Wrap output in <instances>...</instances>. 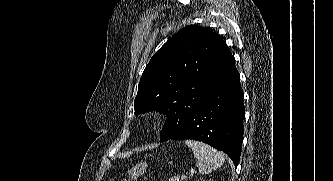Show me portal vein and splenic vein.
<instances>
[{"instance_id": "18ae733b", "label": "portal vein and splenic vein", "mask_w": 333, "mask_h": 181, "mask_svg": "<svg viewBox=\"0 0 333 181\" xmlns=\"http://www.w3.org/2000/svg\"><path fill=\"white\" fill-rule=\"evenodd\" d=\"M188 179V176L184 175L182 176V180L186 181Z\"/></svg>"}]
</instances>
